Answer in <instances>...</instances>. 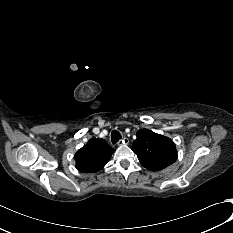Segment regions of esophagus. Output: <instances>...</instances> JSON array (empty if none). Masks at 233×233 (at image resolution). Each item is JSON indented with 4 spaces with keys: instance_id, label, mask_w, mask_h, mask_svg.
Wrapping results in <instances>:
<instances>
[{
    "instance_id": "1",
    "label": "esophagus",
    "mask_w": 233,
    "mask_h": 233,
    "mask_svg": "<svg viewBox=\"0 0 233 233\" xmlns=\"http://www.w3.org/2000/svg\"><path fill=\"white\" fill-rule=\"evenodd\" d=\"M128 143H129V139L124 137L123 139L119 140L117 144H118V146H125Z\"/></svg>"
}]
</instances>
